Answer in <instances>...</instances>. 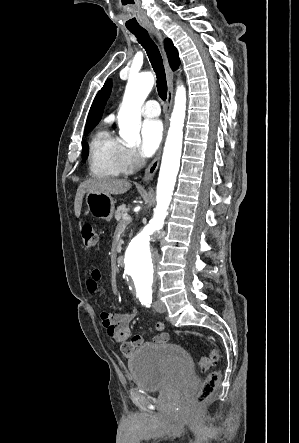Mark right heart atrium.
<instances>
[{"mask_svg": "<svg viewBox=\"0 0 299 443\" xmlns=\"http://www.w3.org/2000/svg\"><path fill=\"white\" fill-rule=\"evenodd\" d=\"M141 164L142 159L134 148L121 145L120 165L123 172H132L139 168Z\"/></svg>", "mask_w": 299, "mask_h": 443, "instance_id": "right-heart-atrium-1", "label": "right heart atrium"}]
</instances>
